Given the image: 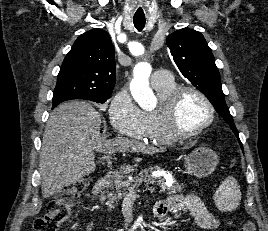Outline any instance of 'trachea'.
Listing matches in <instances>:
<instances>
[{"mask_svg":"<svg viewBox=\"0 0 268 231\" xmlns=\"http://www.w3.org/2000/svg\"><path fill=\"white\" fill-rule=\"evenodd\" d=\"M134 26L138 31H141L145 27V19L134 18Z\"/></svg>","mask_w":268,"mask_h":231,"instance_id":"trachea-1","label":"trachea"}]
</instances>
